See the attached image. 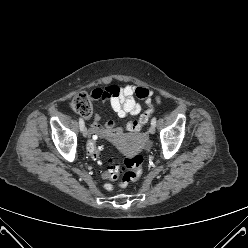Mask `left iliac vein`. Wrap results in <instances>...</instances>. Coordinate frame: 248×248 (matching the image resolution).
Instances as JSON below:
<instances>
[{
    "label": "left iliac vein",
    "mask_w": 248,
    "mask_h": 248,
    "mask_svg": "<svg viewBox=\"0 0 248 248\" xmlns=\"http://www.w3.org/2000/svg\"><path fill=\"white\" fill-rule=\"evenodd\" d=\"M149 132H150V134H154L155 133V126L151 125L149 127Z\"/></svg>",
    "instance_id": "1"
}]
</instances>
